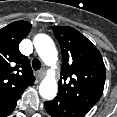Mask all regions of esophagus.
<instances>
[{
  "mask_svg": "<svg viewBox=\"0 0 117 117\" xmlns=\"http://www.w3.org/2000/svg\"><path fill=\"white\" fill-rule=\"evenodd\" d=\"M43 76H44V71L43 70H40V71L37 72V78L38 79H42Z\"/></svg>",
  "mask_w": 117,
  "mask_h": 117,
  "instance_id": "esophagus-1",
  "label": "esophagus"
}]
</instances>
